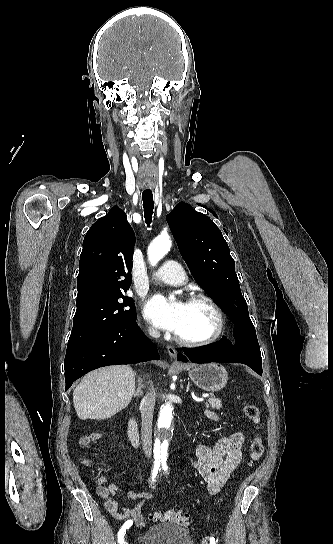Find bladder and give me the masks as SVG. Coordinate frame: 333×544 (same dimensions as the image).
I'll return each instance as SVG.
<instances>
[{
    "mask_svg": "<svg viewBox=\"0 0 333 544\" xmlns=\"http://www.w3.org/2000/svg\"><path fill=\"white\" fill-rule=\"evenodd\" d=\"M140 544H194L189 531L174 524L148 527L140 537Z\"/></svg>",
    "mask_w": 333,
    "mask_h": 544,
    "instance_id": "obj_1",
    "label": "bladder"
}]
</instances>
